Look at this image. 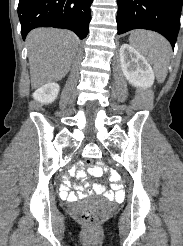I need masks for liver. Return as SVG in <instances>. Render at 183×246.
Segmentation results:
<instances>
[{"mask_svg":"<svg viewBox=\"0 0 183 246\" xmlns=\"http://www.w3.org/2000/svg\"><path fill=\"white\" fill-rule=\"evenodd\" d=\"M78 42L71 31L52 28L31 31L27 46L32 88L64 78L76 55Z\"/></svg>","mask_w":183,"mask_h":246,"instance_id":"liver-1","label":"liver"}]
</instances>
